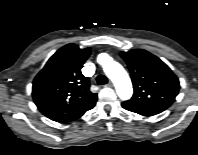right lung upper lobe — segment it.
Listing matches in <instances>:
<instances>
[{"instance_id":"1","label":"right lung upper lobe","mask_w":198,"mask_h":155,"mask_svg":"<svg viewBox=\"0 0 198 155\" xmlns=\"http://www.w3.org/2000/svg\"><path fill=\"white\" fill-rule=\"evenodd\" d=\"M91 53L75 44L60 48L33 82V99L38 109L53 121L63 122L97 101L90 92L89 79L81 68Z\"/></svg>"}]
</instances>
